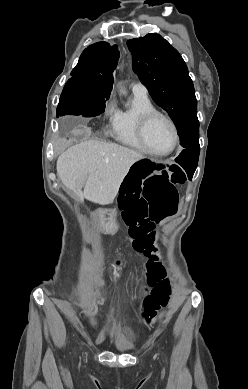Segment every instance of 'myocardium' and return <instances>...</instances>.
<instances>
[{"instance_id":"myocardium-1","label":"myocardium","mask_w":248,"mask_h":389,"mask_svg":"<svg viewBox=\"0 0 248 389\" xmlns=\"http://www.w3.org/2000/svg\"><path fill=\"white\" fill-rule=\"evenodd\" d=\"M156 117H160V118L164 119L169 124V126L172 130L173 144H172V147L166 152L153 151L149 147L147 140H146L147 127L150 124V122ZM137 134H138V138H139L142 146L144 147L145 151L147 153H149L150 155L157 156V157H164V156L170 155L176 149V147L178 145V141H179L178 131H177V127H176L174 121L169 116H167L163 112L158 111L156 109L149 110L140 116V118L138 120Z\"/></svg>"}]
</instances>
